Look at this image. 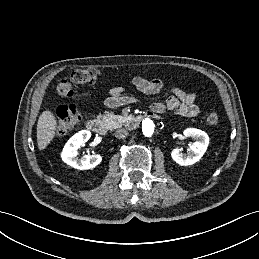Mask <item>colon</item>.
Returning a JSON list of instances; mask_svg holds the SVG:
<instances>
[{"label":"colon","instance_id":"1","mask_svg":"<svg viewBox=\"0 0 259 259\" xmlns=\"http://www.w3.org/2000/svg\"><path fill=\"white\" fill-rule=\"evenodd\" d=\"M99 76L100 72L95 68L76 69L69 77H65L58 82L57 93L63 97H70L74 94L73 84L91 85L97 82ZM57 115L56 134L59 136L70 132L82 117V113L75 104L59 107ZM218 122L219 116L216 112H210L206 115L208 125L215 126Z\"/></svg>","mask_w":259,"mask_h":259}]
</instances>
